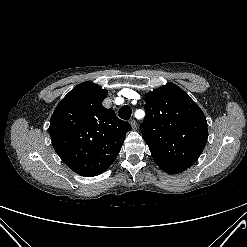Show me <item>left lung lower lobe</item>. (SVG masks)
Returning <instances> with one entry per match:
<instances>
[{
  "label": "left lung lower lobe",
  "mask_w": 247,
  "mask_h": 247,
  "mask_svg": "<svg viewBox=\"0 0 247 247\" xmlns=\"http://www.w3.org/2000/svg\"><path fill=\"white\" fill-rule=\"evenodd\" d=\"M155 162L163 171L169 174H178L187 169V167L167 163L161 160H155Z\"/></svg>",
  "instance_id": "0a47b994"
}]
</instances>
